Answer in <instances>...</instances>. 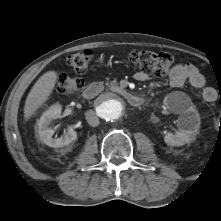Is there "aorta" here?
<instances>
[{
	"label": "aorta",
	"instance_id": "1",
	"mask_svg": "<svg viewBox=\"0 0 221 221\" xmlns=\"http://www.w3.org/2000/svg\"><path fill=\"white\" fill-rule=\"evenodd\" d=\"M126 110L125 101L114 93L103 95L97 102V115L105 122L113 123L120 120Z\"/></svg>",
	"mask_w": 221,
	"mask_h": 221
}]
</instances>
